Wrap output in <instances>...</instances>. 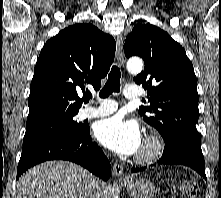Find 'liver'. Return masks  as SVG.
Returning <instances> with one entry per match:
<instances>
[{
    "label": "liver",
    "instance_id": "6515ba94",
    "mask_svg": "<svg viewBox=\"0 0 221 198\" xmlns=\"http://www.w3.org/2000/svg\"><path fill=\"white\" fill-rule=\"evenodd\" d=\"M92 177L89 171L74 163L48 161L19 178L16 198H88L87 185Z\"/></svg>",
    "mask_w": 221,
    "mask_h": 198
}]
</instances>
